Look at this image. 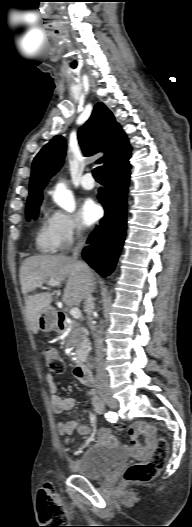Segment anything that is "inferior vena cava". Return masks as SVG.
I'll list each match as a JSON object with an SVG mask.
<instances>
[{
	"label": "inferior vena cava",
	"mask_w": 192,
	"mask_h": 527,
	"mask_svg": "<svg viewBox=\"0 0 192 527\" xmlns=\"http://www.w3.org/2000/svg\"><path fill=\"white\" fill-rule=\"evenodd\" d=\"M77 235L80 240L76 244L72 258L77 259L83 248V241L81 239V228L77 230ZM92 290H88L85 297L84 309L87 313V325L90 328L91 334L94 338L95 343V353H96V363H97V374H96V383L98 387H106L108 385V375L103 365V339L101 337V332L93 321L92 313L94 310V301L92 297Z\"/></svg>",
	"instance_id": "1"
}]
</instances>
